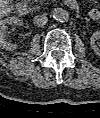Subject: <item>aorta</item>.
Here are the masks:
<instances>
[{
  "label": "aorta",
  "instance_id": "aorta-1",
  "mask_svg": "<svg viewBox=\"0 0 100 118\" xmlns=\"http://www.w3.org/2000/svg\"><path fill=\"white\" fill-rule=\"evenodd\" d=\"M52 17L59 22H67L69 20V13L62 8H55L52 11Z\"/></svg>",
  "mask_w": 100,
  "mask_h": 118
}]
</instances>
